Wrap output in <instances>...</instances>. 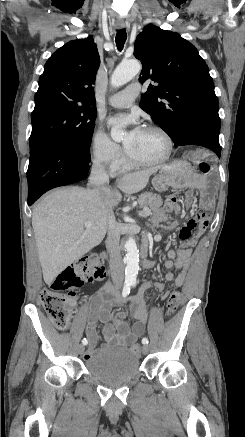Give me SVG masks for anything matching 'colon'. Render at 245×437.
I'll use <instances>...</instances> for the list:
<instances>
[{"instance_id":"1","label":"colon","mask_w":245,"mask_h":437,"mask_svg":"<svg viewBox=\"0 0 245 437\" xmlns=\"http://www.w3.org/2000/svg\"><path fill=\"white\" fill-rule=\"evenodd\" d=\"M208 163V159L206 160ZM203 173L210 171V163L204 166L198 163ZM177 202L176 196L168 199V205ZM105 276V269L100 262L89 257L79 261L74 267H69L62 271L52 282L50 288L41 293L42 305L48 314L54 326L60 330L67 328L71 317V307L74 302V289L85 284L100 281ZM180 302V293L172 291L166 302V314L170 316L176 312ZM134 354L140 355L142 348L139 344L134 343L131 346Z\"/></svg>"}]
</instances>
